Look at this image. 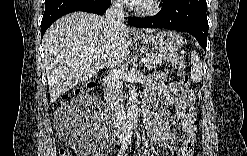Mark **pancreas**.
I'll use <instances>...</instances> for the list:
<instances>
[{"instance_id": "cf45deb5", "label": "pancreas", "mask_w": 247, "mask_h": 156, "mask_svg": "<svg viewBox=\"0 0 247 156\" xmlns=\"http://www.w3.org/2000/svg\"><path fill=\"white\" fill-rule=\"evenodd\" d=\"M146 59L148 60V62L145 63V66L148 70H151L155 68L158 64H161L163 60L171 62L174 66L182 62L181 60H174L172 56L167 53H147Z\"/></svg>"}]
</instances>
